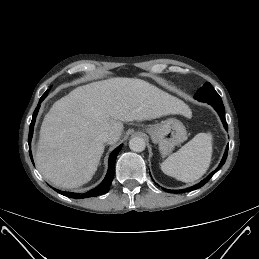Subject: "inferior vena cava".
I'll use <instances>...</instances> for the list:
<instances>
[{"label": "inferior vena cava", "mask_w": 259, "mask_h": 259, "mask_svg": "<svg viewBox=\"0 0 259 259\" xmlns=\"http://www.w3.org/2000/svg\"><path fill=\"white\" fill-rule=\"evenodd\" d=\"M97 139L103 143H106L110 139V134L108 132H103L97 136Z\"/></svg>", "instance_id": "1"}]
</instances>
